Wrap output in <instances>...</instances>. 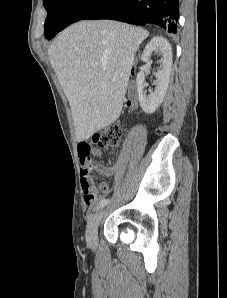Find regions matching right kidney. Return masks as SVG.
<instances>
[{
    "instance_id": "1",
    "label": "right kidney",
    "mask_w": 227,
    "mask_h": 298,
    "mask_svg": "<svg viewBox=\"0 0 227 298\" xmlns=\"http://www.w3.org/2000/svg\"><path fill=\"white\" fill-rule=\"evenodd\" d=\"M153 53L160 57V67L155 73L156 88L154 92L146 95L144 91L145 74L143 71L137 74L136 79L139 103L143 111L147 114L154 113L158 106L163 102L172 69V48L165 38H152L151 41L146 45L141 56V60L143 62H149Z\"/></svg>"
}]
</instances>
